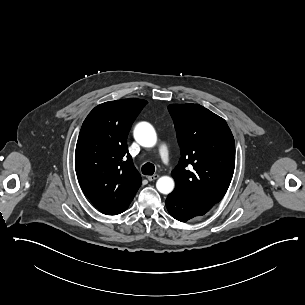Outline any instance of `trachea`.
Returning a JSON list of instances; mask_svg holds the SVG:
<instances>
[{"label":"trachea","instance_id":"trachea-1","mask_svg":"<svg viewBox=\"0 0 305 305\" xmlns=\"http://www.w3.org/2000/svg\"><path fill=\"white\" fill-rule=\"evenodd\" d=\"M141 171L144 175H153L155 172V166L154 164L147 162L142 166Z\"/></svg>","mask_w":305,"mask_h":305}]
</instances>
